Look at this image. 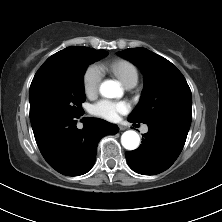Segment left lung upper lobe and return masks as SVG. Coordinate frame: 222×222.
<instances>
[{
    "label": "left lung upper lobe",
    "mask_w": 222,
    "mask_h": 222,
    "mask_svg": "<svg viewBox=\"0 0 222 222\" xmlns=\"http://www.w3.org/2000/svg\"><path fill=\"white\" fill-rule=\"evenodd\" d=\"M118 55L137 65L145 80L143 95L128 119L147 123L163 118L182 119L190 126L191 90L181 72L167 59L146 48H132Z\"/></svg>",
    "instance_id": "5c2ea615"
}]
</instances>
